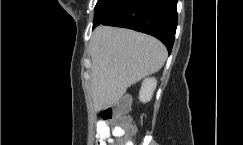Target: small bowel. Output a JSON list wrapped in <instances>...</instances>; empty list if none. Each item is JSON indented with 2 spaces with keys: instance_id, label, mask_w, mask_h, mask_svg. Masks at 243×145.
I'll list each match as a JSON object with an SVG mask.
<instances>
[{
  "instance_id": "c3829d8e",
  "label": "small bowel",
  "mask_w": 243,
  "mask_h": 145,
  "mask_svg": "<svg viewBox=\"0 0 243 145\" xmlns=\"http://www.w3.org/2000/svg\"><path fill=\"white\" fill-rule=\"evenodd\" d=\"M123 134L119 127H112L109 121L101 120L96 126L95 145H105L104 141L114 143L112 136L122 137ZM128 145H133L132 141Z\"/></svg>"
}]
</instances>
